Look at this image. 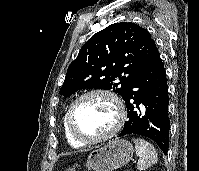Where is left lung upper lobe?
Segmentation results:
<instances>
[{
	"mask_svg": "<svg viewBox=\"0 0 199 171\" xmlns=\"http://www.w3.org/2000/svg\"><path fill=\"white\" fill-rule=\"evenodd\" d=\"M157 51L149 32L131 22L115 23L93 35L68 67L60 94L80 89L112 90L124 99L141 69Z\"/></svg>",
	"mask_w": 199,
	"mask_h": 171,
	"instance_id": "1",
	"label": "left lung upper lobe"
}]
</instances>
